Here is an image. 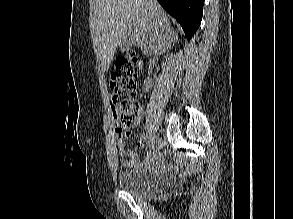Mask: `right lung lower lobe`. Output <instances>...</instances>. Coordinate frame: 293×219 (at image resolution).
<instances>
[{
  "mask_svg": "<svg viewBox=\"0 0 293 219\" xmlns=\"http://www.w3.org/2000/svg\"><path fill=\"white\" fill-rule=\"evenodd\" d=\"M158 2L180 23L189 41L201 23L204 0H158Z\"/></svg>",
  "mask_w": 293,
  "mask_h": 219,
  "instance_id": "right-lung-lower-lobe-1",
  "label": "right lung lower lobe"
}]
</instances>
